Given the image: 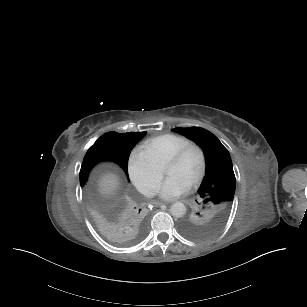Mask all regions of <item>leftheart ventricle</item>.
<instances>
[{
	"label": "left heart ventricle",
	"instance_id": "left-heart-ventricle-1",
	"mask_svg": "<svg viewBox=\"0 0 307 307\" xmlns=\"http://www.w3.org/2000/svg\"><path fill=\"white\" fill-rule=\"evenodd\" d=\"M202 154L198 147L190 149L185 157L175 163L164 162L161 171L166 175H176L186 182H190L201 170Z\"/></svg>",
	"mask_w": 307,
	"mask_h": 307
}]
</instances>
